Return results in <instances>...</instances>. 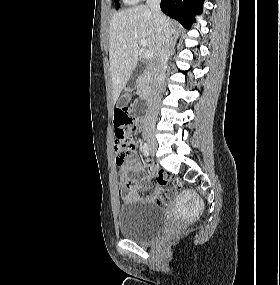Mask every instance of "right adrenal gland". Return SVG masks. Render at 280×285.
<instances>
[{"mask_svg": "<svg viewBox=\"0 0 280 285\" xmlns=\"http://www.w3.org/2000/svg\"><path fill=\"white\" fill-rule=\"evenodd\" d=\"M176 42H177V38H174V40L172 41V44H171V52H172V53H173L174 50H175Z\"/></svg>", "mask_w": 280, "mask_h": 285, "instance_id": "1", "label": "right adrenal gland"}]
</instances>
